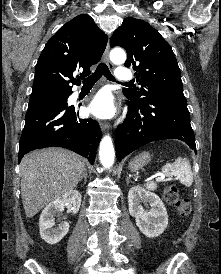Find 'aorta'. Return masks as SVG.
Instances as JSON below:
<instances>
[{"mask_svg":"<svg viewBox=\"0 0 221 274\" xmlns=\"http://www.w3.org/2000/svg\"><path fill=\"white\" fill-rule=\"evenodd\" d=\"M110 59L115 64H123L126 61V53L121 48H115L110 53ZM99 158L101 164L108 168L114 163L115 152L110 136H105L99 146Z\"/></svg>","mask_w":221,"mask_h":274,"instance_id":"obj_1","label":"aorta"}]
</instances>
